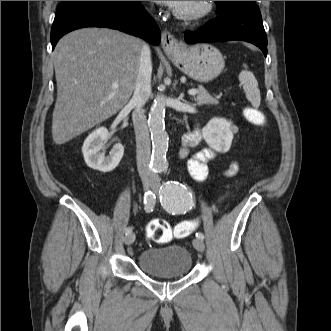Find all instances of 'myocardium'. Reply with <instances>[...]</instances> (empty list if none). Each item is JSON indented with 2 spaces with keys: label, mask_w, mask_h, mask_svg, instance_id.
Returning a JSON list of instances; mask_svg holds the SVG:
<instances>
[{
  "label": "myocardium",
  "mask_w": 331,
  "mask_h": 331,
  "mask_svg": "<svg viewBox=\"0 0 331 331\" xmlns=\"http://www.w3.org/2000/svg\"><path fill=\"white\" fill-rule=\"evenodd\" d=\"M213 8V1H199L196 7L189 11L174 10V15L184 21H193L200 19L211 12Z\"/></svg>",
  "instance_id": "obj_1"
}]
</instances>
